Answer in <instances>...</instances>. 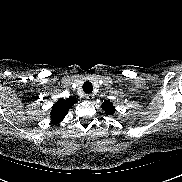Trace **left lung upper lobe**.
I'll use <instances>...</instances> for the list:
<instances>
[{"mask_svg": "<svg viewBox=\"0 0 182 182\" xmlns=\"http://www.w3.org/2000/svg\"><path fill=\"white\" fill-rule=\"evenodd\" d=\"M102 109L107 115H113L116 111L115 107L112 105V102L107 100L102 104Z\"/></svg>", "mask_w": 182, "mask_h": 182, "instance_id": "1", "label": "left lung upper lobe"}]
</instances>
